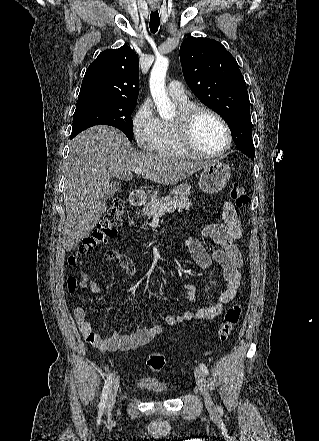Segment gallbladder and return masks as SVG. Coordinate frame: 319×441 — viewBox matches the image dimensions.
I'll use <instances>...</instances> for the list:
<instances>
[{"instance_id": "bac80fb5", "label": "gallbladder", "mask_w": 319, "mask_h": 441, "mask_svg": "<svg viewBox=\"0 0 319 441\" xmlns=\"http://www.w3.org/2000/svg\"><path fill=\"white\" fill-rule=\"evenodd\" d=\"M120 187H121L120 183L112 182L109 185V190H108V194L107 195L108 196H113L116 192H118L120 190Z\"/></svg>"}]
</instances>
